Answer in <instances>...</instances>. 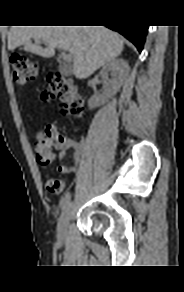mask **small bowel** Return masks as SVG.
I'll return each mask as SVG.
<instances>
[{
  "label": "small bowel",
  "mask_w": 184,
  "mask_h": 292,
  "mask_svg": "<svg viewBox=\"0 0 184 292\" xmlns=\"http://www.w3.org/2000/svg\"><path fill=\"white\" fill-rule=\"evenodd\" d=\"M51 144L57 152L60 159H64L66 151L73 149L72 162L62 163L58 166V171L63 174H71L77 172L83 163V144L68 136L59 133L56 129H52Z\"/></svg>",
  "instance_id": "small-bowel-1"
}]
</instances>
